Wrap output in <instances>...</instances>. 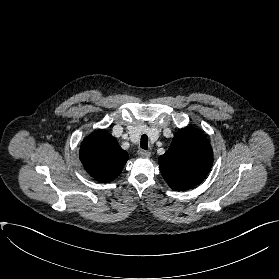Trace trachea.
Returning <instances> with one entry per match:
<instances>
[{"label": "trachea", "instance_id": "trachea-1", "mask_svg": "<svg viewBox=\"0 0 279 279\" xmlns=\"http://www.w3.org/2000/svg\"><path fill=\"white\" fill-rule=\"evenodd\" d=\"M140 146L142 149L148 150V136L147 135L141 136Z\"/></svg>", "mask_w": 279, "mask_h": 279}]
</instances>
